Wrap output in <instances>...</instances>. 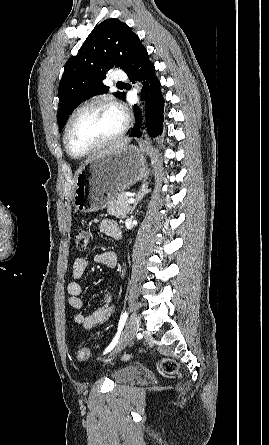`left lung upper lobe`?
I'll list each match as a JSON object with an SVG mask.
<instances>
[{
    "instance_id": "1",
    "label": "left lung upper lobe",
    "mask_w": 269,
    "mask_h": 445,
    "mask_svg": "<svg viewBox=\"0 0 269 445\" xmlns=\"http://www.w3.org/2000/svg\"><path fill=\"white\" fill-rule=\"evenodd\" d=\"M146 48L126 24L116 18L98 24L89 34L78 54L68 60L59 84L57 120L61 132L69 115L88 98L107 93L103 84L106 73L120 67L130 71ZM115 95L124 97V92Z\"/></svg>"
}]
</instances>
